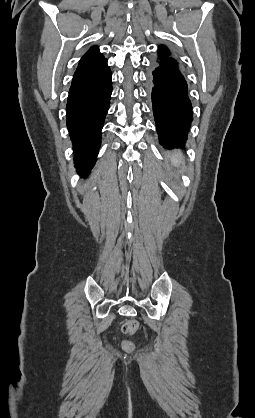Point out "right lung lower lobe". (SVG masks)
<instances>
[{
  "label": "right lung lower lobe",
  "instance_id": "98d812e1",
  "mask_svg": "<svg viewBox=\"0 0 255 418\" xmlns=\"http://www.w3.org/2000/svg\"><path fill=\"white\" fill-rule=\"evenodd\" d=\"M111 93L107 59L102 56L79 63L69 90L66 121L73 142L75 167L81 175H86L95 163Z\"/></svg>",
  "mask_w": 255,
  "mask_h": 418
}]
</instances>
